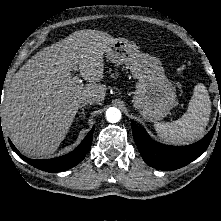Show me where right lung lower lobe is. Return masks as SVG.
Here are the masks:
<instances>
[{
    "instance_id": "98d812e1",
    "label": "right lung lower lobe",
    "mask_w": 221,
    "mask_h": 221,
    "mask_svg": "<svg viewBox=\"0 0 221 221\" xmlns=\"http://www.w3.org/2000/svg\"><path fill=\"white\" fill-rule=\"evenodd\" d=\"M0 127H1V118H0ZM93 132H94V127L89 131V133L81 142V144L77 148H75L72 152L63 155L61 157L52 158V159L34 160L26 158L15 148V146L11 143L10 140L9 143L12 149L17 153V155L21 159L29 163L30 165L47 172H61L76 166L84 159L85 155L87 154V152L91 147Z\"/></svg>"
}]
</instances>
